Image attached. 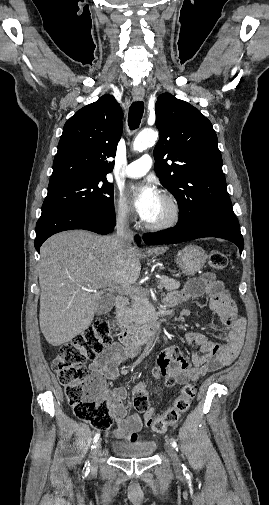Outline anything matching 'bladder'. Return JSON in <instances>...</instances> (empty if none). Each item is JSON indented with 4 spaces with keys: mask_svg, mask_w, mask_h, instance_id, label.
<instances>
[{
    "mask_svg": "<svg viewBox=\"0 0 269 505\" xmlns=\"http://www.w3.org/2000/svg\"><path fill=\"white\" fill-rule=\"evenodd\" d=\"M156 446V442L152 440L139 442L113 441L111 449L116 456L121 458H146L153 455Z\"/></svg>",
    "mask_w": 269,
    "mask_h": 505,
    "instance_id": "bladder-1",
    "label": "bladder"
}]
</instances>
